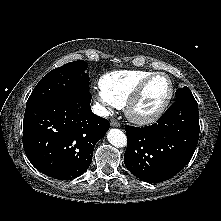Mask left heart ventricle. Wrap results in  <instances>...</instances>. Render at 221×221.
Here are the masks:
<instances>
[{
    "instance_id": "left-heart-ventricle-1",
    "label": "left heart ventricle",
    "mask_w": 221,
    "mask_h": 221,
    "mask_svg": "<svg viewBox=\"0 0 221 221\" xmlns=\"http://www.w3.org/2000/svg\"><path fill=\"white\" fill-rule=\"evenodd\" d=\"M169 93V82L163 76L155 77L146 87L142 98L135 107L139 115H147L157 110Z\"/></svg>"
}]
</instances>
